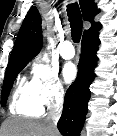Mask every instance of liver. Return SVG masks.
<instances>
[{"label": "liver", "mask_w": 117, "mask_h": 136, "mask_svg": "<svg viewBox=\"0 0 117 136\" xmlns=\"http://www.w3.org/2000/svg\"><path fill=\"white\" fill-rule=\"evenodd\" d=\"M2 136H51L46 121L9 118L2 124ZM54 136H59L57 131Z\"/></svg>", "instance_id": "1"}]
</instances>
